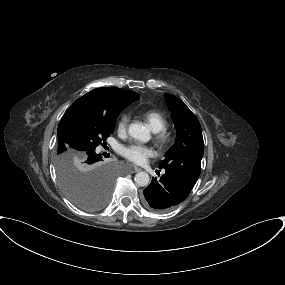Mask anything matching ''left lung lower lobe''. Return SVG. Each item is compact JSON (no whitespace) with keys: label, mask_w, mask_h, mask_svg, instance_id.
<instances>
[{"label":"left lung lower lobe","mask_w":285,"mask_h":285,"mask_svg":"<svg viewBox=\"0 0 285 285\" xmlns=\"http://www.w3.org/2000/svg\"><path fill=\"white\" fill-rule=\"evenodd\" d=\"M195 183L182 174L165 170L160 180L154 178L144 189V204L156 212H165L183 202Z\"/></svg>","instance_id":"0a47b994"}]
</instances>
